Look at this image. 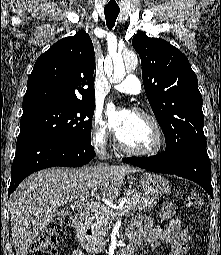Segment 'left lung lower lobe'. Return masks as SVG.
<instances>
[{
  "label": "left lung lower lobe",
  "mask_w": 221,
  "mask_h": 255,
  "mask_svg": "<svg viewBox=\"0 0 221 255\" xmlns=\"http://www.w3.org/2000/svg\"><path fill=\"white\" fill-rule=\"evenodd\" d=\"M123 162L166 174H175L198 183L213 198L211 185L210 160L206 147H193L183 151L176 158L165 154L151 157H128Z\"/></svg>",
  "instance_id": "obj_1"
}]
</instances>
